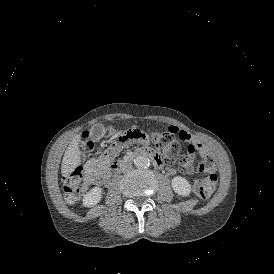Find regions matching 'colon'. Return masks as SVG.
<instances>
[{"label": "colon", "instance_id": "1", "mask_svg": "<svg viewBox=\"0 0 274 274\" xmlns=\"http://www.w3.org/2000/svg\"><path fill=\"white\" fill-rule=\"evenodd\" d=\"M108 136L112 135L117 145L138 144L140 140L147 139L146 131H116L108 130L106 132ZM153 143L156 148V152L159 157H164L167 164L171 167L172 162L178 152L182 148L186 141H182L176 137L173 132H169L165 129L163 132L155 133L152 137ZM79 142H88V133L78 134ZM82 176L81 167H75L70 175L67 177L64 184V198L67 204L74 205L77 202V195L80 192L79 180ZM192 191L200 199H207L214 191L212 184L198 179L192 183Z\"/></svg>", "mask_w": 274, "mask_h": 274}]
</instances>
